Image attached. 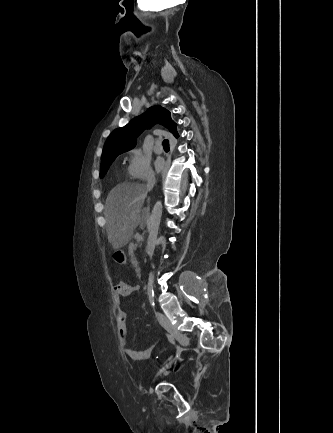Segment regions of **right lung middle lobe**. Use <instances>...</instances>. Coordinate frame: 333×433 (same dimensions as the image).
Returning <instances> with one entry per match:
<instances>
[{
  "instance_id": "1",
  "label": "right lung middle lobe",
  "mask_w": 333,
  "mask_h": 433,
  "mask_svg": "<svg viewBox=\"0 0 333 433\" xmlns=\"http://www.w3.org/2000/svg\"><path fill=\"white\" fill-rule=\"evenodd\" d=\"M118 156L117 155H113L111 157H109L108 159L101 161V170H100V178L104 177V175L106 174L108 168L110 167V165L112 164V162L115 160V158Z\"/></svg>"
}]
</instances>
